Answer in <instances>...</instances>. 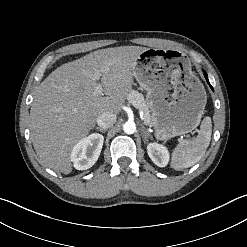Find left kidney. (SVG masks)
<instances>
[{"mask_svg": "<svg viewBox=\"0 0 247 247\" xmlns=\"http://www.w3.org/2000/svg\"><path fill=\"white\" fill-rule=\"evenodd\" d=\"M150 159L159 167H165L169 162V152L166 147L157 143H150L147 146Z\"/></svg>", "mask_w": 247, "mask_h": 247, "instance_id": "5707ae66", "label": "left kidney"}]
</instances>
